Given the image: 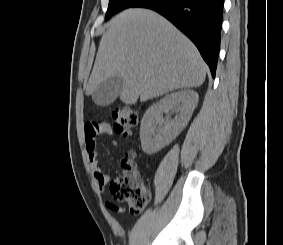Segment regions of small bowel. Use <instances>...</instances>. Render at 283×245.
I'll return each mask as SVG.
<instances>
[{
    "label": "small bowel",
    "mask_w": 283,
    "mask_h": 245,
    "mask_svg": "<svg viewBox=\"0 0 283 245\" xmlns=\"http://www.w3.org/2000/svg\"><path fill=\"white\" fill-rule=\"evenodd\" d=\"M112 132L111 127L106 122H88L85 125V145L86 150L93 166L94 177L100 187L103 190L108 184L110 177L103 172L99 166L98 156H97V138L99 135H110ZM113 145H117L116 141H112ZM107 206L114 210L119 211L120 208L108 203Z\"/></svg>",
    "instance_id": "small-bowel-1"
}]
</instances>
